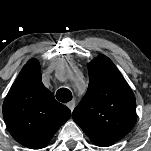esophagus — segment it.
I'll return each mask as SVG.
<instances>
[{"mask_svg": "<svg viewBox=\"0 0 151 151\" xmlns=\"http://www.w3.org/2000/svg\"><path fill=\"white\" fill-rule=\"evenodd\" d=\"M67 106L71 111H73L76 106L75 100H71L69 103H67Z\"/></svg>", "mask_w": 151, "mask_h": 151, "instance_id": "1", "label": "esophagus"}]
</instances>
